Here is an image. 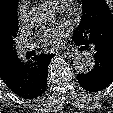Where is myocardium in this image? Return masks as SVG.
<instances>
[{
  "mask_svg": "<svg viewBox=\"0 0 113 113\" xmlns=\"http://www.w3.org/2000/svg\"><path fill=\"white\" fill-rule=\"evenodd\" d=\"M58 10L71 24L76 23L82 14V4L79 0H61Z\"/></svg>",
  "mask_w": 113,
  "mask_h": 113,
  "instance_id": "f54148a6",
  "label": "myocardium"
}]
</instances>
